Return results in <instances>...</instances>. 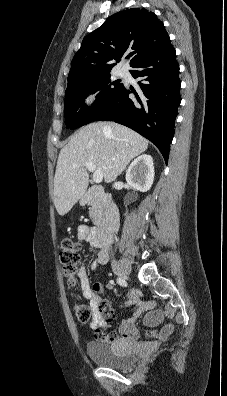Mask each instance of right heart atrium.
Instances as JSON below:
<instances>
[{
	"label": "right heart atrium",
	"instance_id": "1",
	"mask_svg": "<svg viewBox=\"0 0 227 396\" xmlns=\"http://www.w3.org/2000/svg\"><path fill=\"white\" fill-rule=\"evenodd\" d=\"M98 101V92L89 91L83 97V104L86 108H93Z\"/></svg>",
	"mask_w": 227,
	"mask_h": 396
}]
</instances>
